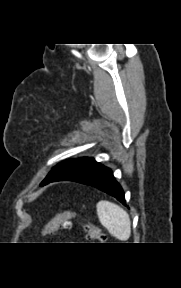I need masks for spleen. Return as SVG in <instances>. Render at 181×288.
Segmentation results:
<instances>
[{"label": "spleen", "instance_id": "1", "mask_svg": "<svg viewBox=\"0 0 181 288\" xmlns=\"http://www.w3.org/2000/svg\"><path fill=\"white\" fill-rule=\"evenodd\" d=\"M97 215L101 224L116 239L126 241L131 235L128 213L119 205L101 200L97 203Z\"/></svg>", "mask_w": 181, "mask_h": 288}]
</instances>
